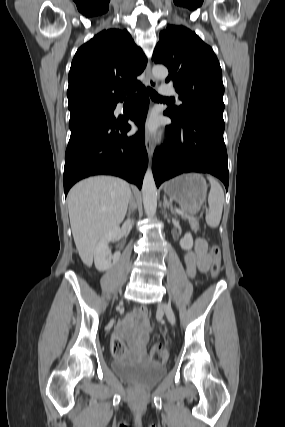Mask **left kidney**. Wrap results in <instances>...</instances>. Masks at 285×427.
<instances>
[{"label":"left kidney","mask_w":285,"mask_h":427,"mask_svg":"<svg viewBox=\"0 0 285 427\" xmlns=\"http://www.w3.org/2000/svg\"><path fill=\"white\" fill-rule=\"evenodd\" d=\"M180 246L183 250H191L193 247V237L191 233H187L181 240Z\"/></svg>","instance_id":"left-kidney-1"}]
</instances>
